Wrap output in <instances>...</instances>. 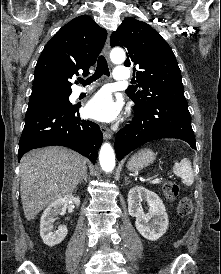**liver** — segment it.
<instances>
[{
  "label": "liver",
  "mask_w": 221,
  "mask_h": 274,
  "mask_svg": "<svg viewBox=\"0 0 221 274\" xmlns=\"http://www.w3.org/2000/svg\"><path fill=\"white\" fill-rule=\"evenodd\" d=\"M86 167V159L63 147L32 150L20 161V192L28 221L55 200L73 192Z\"/></svg>",
  "instance_id": "obj_1"
}]
</instances>
